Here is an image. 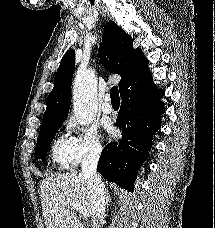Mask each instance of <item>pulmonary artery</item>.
Here are the masks:
<instances>
[{
  "label": "pulmonary artery",
  "mask_w": 215,
  "mask_h": 228,
  "mask_svg": "<svg viewBox=\"0 0 215 228\" xmlns=\"http://www.w3.org/2000/svg\"><path fill=\"white\" fill-rule=\"evenodd\" d=\"M102 111L106 114H110L113 111V106L111 104V97L109 94L105 96V101L101 106Z\"/></svg>",
  "instance_id": "pulmonary-artery-1"
}]
</instances>
